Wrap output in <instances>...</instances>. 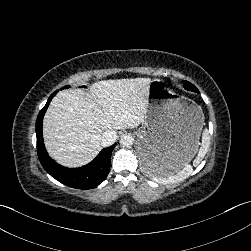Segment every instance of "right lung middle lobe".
Instances as JSON below:
<instances>
[{
	"label": "right lung middle lobe",
	"mask_w": 251,
	"mask_h": 251,
	"mask_svg": "<svg viewBox=\"0 0 251 251\" xmlns=\"http://www.w3.org/2000/svg\"><path fill=\"white\" fill-rule=\"evenodd\" d=\"M65 88H69V86L67 85V86L63 87L62 89H65Z\"/></svg>",
	"instance_id": "right-lung-middle-lobe-1"
}]
</instances>
